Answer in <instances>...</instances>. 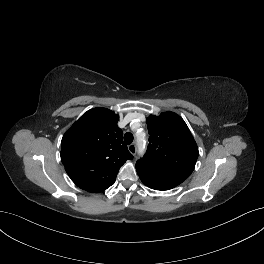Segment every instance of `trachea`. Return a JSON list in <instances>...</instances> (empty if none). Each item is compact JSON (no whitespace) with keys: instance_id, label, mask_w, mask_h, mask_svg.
Instances as JSON below:
<instances>
[{"instance_id":"3493384b","label":"trachea","mask_w":264,"mask_h":264,"mask_svg":"<svg viewBox=\"0 0 264 264\" xmlns=\"http://www.w3.org/2000/svg\"><path fill=\"white\" fill-rule=\"evenodd\" d=\"M124 141L127 145H130L133 142V135L130 132L125 133Z\"/></svg>"}]
</instances>
